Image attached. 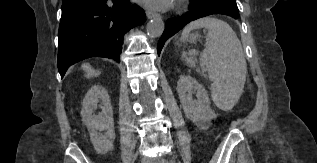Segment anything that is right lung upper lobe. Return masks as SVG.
<instances>
[{
  "instance_id": "obj_1",
  "label": "right lung upper lobe",
  "mask_w": 317,
  "mask_h": 163,
  "mask_svg": "<svg viewBox=\"0 0 317 163\" xmlns=\"http://www.w3.org/2000/svg\"><path fill=\"white\" fill-rule=\"evenodd\" d=\"M67 1H71V0H63V2H67Z\"/></svg>"
}]
</instances>
